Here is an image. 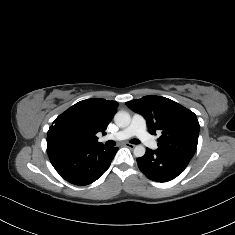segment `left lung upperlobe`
<instances>
[{"instance_id":"left-lung-upper-lobe-1","label":"left lung upper lobe","mask_w":235,"mask_h":235,"mask_svg":"<svg viewBox=\"0 0 235 235\" xmlns=\"http://www.w3.org/2000/svg\"><path fill=\"white\" fill-rule=\"evenodd\" d=\"M147 121L150 134L161 132L158 151L192 159L197 149L200 125L196 115L177 102L160 96H145L125 103Z\"/></svg>"}]
</instances>
